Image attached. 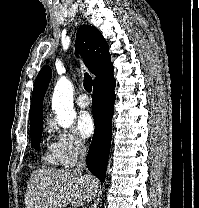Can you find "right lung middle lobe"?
Returning <instances> with one entry per match:
<instances>
[{
	"label": "right lung middle lobe",
	"instance_id": "right-lung-middle-lobe-1",
	"mask_svg": "<svg viewBox=\"0 0 199 208\" xmlns=\"http://www.w3.org/2000/svg\"><path fill=\"white\" fill-rule=\"evenodd\" d=\"M42 130H43V126L42 125L31 130V145L36 150H38L39 146H40Z\"/></svg>",
	"mask_w": 199,
	"mask_h": 208
}]
</instances>
